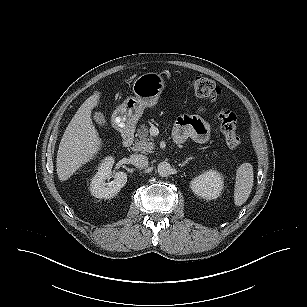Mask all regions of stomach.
<instances>
[{
	"instance_id": "1",
	"label": "stomach",
	"mask_w": 307,
	"mask_h": 307,
	"mask_svg": "<svg viewBox=\"0 0 307 307\" xmlns=\"http://www.w3.org/2000/svg\"><path fill=\"white\" fill-rule=\"evenodd\" d=\"M165 88V81L158 73H145L133 82L135 96H130L112 114L114 127L119 130L133 128L147 107L157 104Z\"/></svg>"
}]
</instances>
